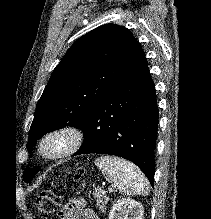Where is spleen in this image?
Segmentation results:
<instances>
[{
  "mask_svg": "<svg viewBox=\"0 0 211 219\" xmlns=\"http://www.w3.org/2000/svg\"><path fill=\"white\" fill-rule=\"evenodd\" d=\"M95 165L121 194L148 195L149 183L133 163L122 158L103 156L95 160Z\"/></svg>",
  "mask_w": 211,
  "mask_h": 219,
  "instance_id": "1",
  "label": "spleen"
}]
</instances>
